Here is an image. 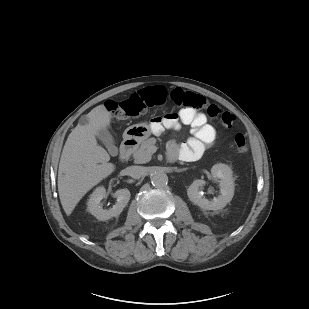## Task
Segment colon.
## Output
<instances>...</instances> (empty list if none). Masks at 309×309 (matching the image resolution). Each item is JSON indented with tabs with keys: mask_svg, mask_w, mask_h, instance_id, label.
Segmentation results:
<instances>
[{
	"mask_svg": "<svg viewBox=\"0 0 309 309\" xmlns=\"http://www.w3.org/2000/svg\"><path fill=\"white\" fill-rule=\"evenodd\" d=\"M168 95L174 104L179 107L205 110L211 119L217 121L224 128H231L233 125L234 117L230 112L208 102L203 95L179 87L168 92L162 86H155L122 101L108 100L105 102V107L112 116L122 120L137 117L145 113L150 107L162 105ZM233 142L239 153H246L248 151V141L243 134H236Z\"/></svg>",
	"mask_w": 309,
	"mask_h": 309,
	"instance_id": "5ec220e1",
	"label": "colon"
}]
</instances>
